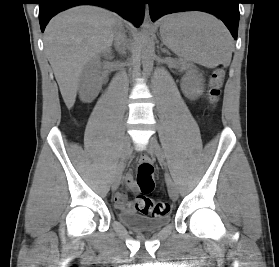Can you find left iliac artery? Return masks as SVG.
<instances>
[{
    "instance_id": "obj_1",
    "label": "left iliac artery",
    "mask_w": 279,
    "mask_h": 267,
    "mask_svg": "<svg viewBox=\"0 0 279 267\" xmlns=\"http://www.w3.org/2000/svg\"><path fill=\"white\" fill-rule=\"evenodd\" d=\"M160 159H161V161L163 162V164H164V166L166 167V162H164V156L161 154V156H160ZM167 176H168V174H167Z\"/></svg>"
}]
</instances>
